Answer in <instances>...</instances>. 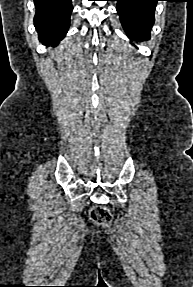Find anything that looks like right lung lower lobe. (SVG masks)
<instances>
[{
	"mask_svg": "<svg viewBox=\"0 0 193 287\" xmlns=\"http://www.w3.org/2000/svg\"><path fill=\"white\" fill-rule=\"evenodd\" d=\"M34 25L39 39L54 46L64 38L70 25L71 0H34Z\"/></svg>",
	"mask_w": 193,
	"mask_h": 287,
	"instance_id": "obj_1",
	"label": "right lung lower lobe"
}]
</instances>
